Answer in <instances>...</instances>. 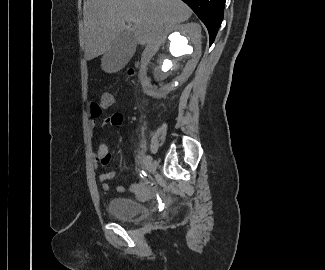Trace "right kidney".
Listing matches in <instances>:
<instances>
[{
    "label": "right kidney",
    "instance_id": "ca27d5eb",
    "mask_svg": "<svg viewBox=\"0 0 325 270\" xmlns=\"http://www.w3.org/2000/svg\"><path fill=\"white\" fill-rule=\"evenodd\" d=\"M155 54L156 61L150 63ZM200 56V25L188 23L166 29L155 48L142 56L140 79L144 92L155 98L165 97L189 78Z\"/></svg>",
    "mask_w": 325,
    "mask_h": 270
}]
</instances>
